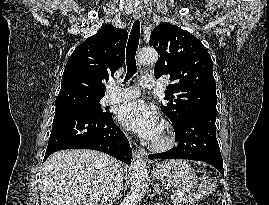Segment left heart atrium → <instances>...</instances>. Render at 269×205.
Segmentation results:
<instances>
[{"mask_svg":"<svg viewBox=\"0 0 269 205\" xmlns=\"http://www.w3.org/2000/svg\"><path fill=\"white\" fill-rule=\"evenodd\" d=\"M118 119L123 127L147 140H155L161 131L158 115L144 101H132L120 107Z\"/></svg>","mask_w":269,"mask_h":205,"instance_id":"39dd6f15","label":"left heart atrium"}]
</instances>
